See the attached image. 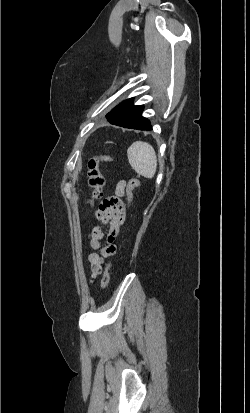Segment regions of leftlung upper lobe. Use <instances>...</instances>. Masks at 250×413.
Returning <instances> with one entry per match:
<instances>
[{"mask_svg":"<svg viewBox=\"0 0 250 413\" xmlns=\"http://www.w3.org/2000/svg\"><path fill=\"white\" fill-rule=\"evenodd\" d=\"M120 109V105H118L117 107H115L113 110H111V112H109L106 117L110 116L111 114L118 112Z\"/></svg>","mask_w":250,"mask_h":413,"instance_id":"left-lung-upper-lobe-1","label":"left lung upper lobe"}]
</instances>
